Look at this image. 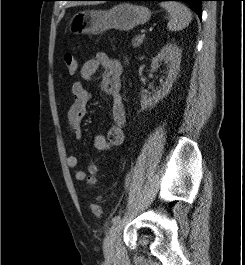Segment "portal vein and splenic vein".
Masks as SVG:
<instances>
[{
    "instance_id": "18ae733b",
    "label": "portal vein and splenic vein",
    "mask_w": 245,
    "mask_h": 265,
    "mask_svg": "<svg viewBox=\"0 0 245 265\" xmlns=\"http://www.w3.org/2000/svg\"><path fill=\"white\" fill-rule=\"evenodd\" d=\"M145 36H146L145 33H142V34H141V37H142L143 39L145 38Z\"/></svg>"
}]
</instances>
